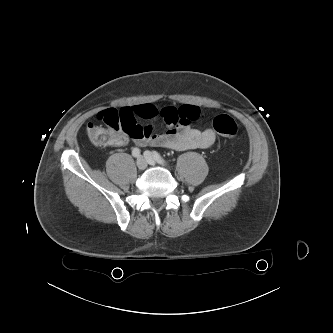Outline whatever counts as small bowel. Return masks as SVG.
Instances as JSON below:
<instances>
[{
    "label": "small bowel",
    "instance_id": "small-bowel-1",
    "mask_svg": "<svg viewBox=\"0 0 333 333\" xmlns=\"http://www.w3.org/2000/svg\"><path fill=\"white\" fill-rule=\"evenodd\" d=\"M135 117L151 120L160 118L165 131L158 132L152 126L137 125L133 134L118 132L114 136L112 146L126 145L130 140L139 146H157L177 151L211 148L216 141L213 129L199 130L192 127V122L201 116L197 106L182 105L180 107H165L158 110L150 104L130 108Z\"/></svg>",
    "mask_w": 333,
    "mask_h": 333
}]
</instances>
